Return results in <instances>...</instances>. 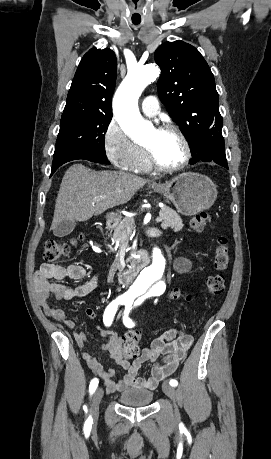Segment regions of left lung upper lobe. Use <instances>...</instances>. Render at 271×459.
I'll return each instance as SVG.
<instances>
[{"mask_svg": "<svg viewBox=\"0 0 271 459\" xmlns=\"http://www.w3.org/2000/svg\"><path fill=\"white\" fill-rule=\"evenodd\" d=\"M154 58L161 68L160 99L187 139L191 161H197L208 137L223 125L214 76L200 52L183 41L163 43Z\"/></svg>", "mask_w": 271, "mask_h": 459, "instance_id": "left-lung-upper-lobe-1", "label": "left lung upper lobe"}]
</instances>
